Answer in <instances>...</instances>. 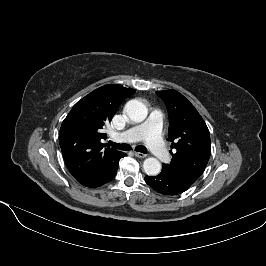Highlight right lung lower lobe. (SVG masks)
Segmentation results:
<instances>
[{
	"label": "right lung lower lobe",
	"instance_id": "obj_1",
	"mask_svg": "<svg viewBox=\"0 0 266 266\" xmlns=\"http://www.w3.org/2000/svg\"><path fill=\"white\" fill-rule=\"evenodd\" d=\"M124 156L125 153H121V155H119L118 158L115 161H113L112 164L107 169L100 172L95 177L88 179L84 182H81L80 184H82L85 187L94 188V187H99L107 183L108 181L112 180L116 175L117 168L119 165V160Z\"/></svg>",
	"mask_w": 266,
	"mask_h": 266
}]
</instances>
